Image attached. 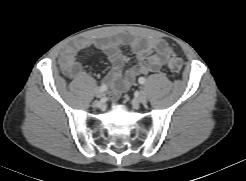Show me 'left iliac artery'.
I'll use <instances>...</instances> for the list:
<instances>
[{
	"mask_svg": "<svg viewBox=\"0 0 246 181\" xmlns=\"http://www.w3.org/2000/svg\"><path fill=\"white\" fill-rule=\"evenodd\" d=\"M138 82L143 85L145 84L146 79L144 77H139Z\"/></svg>",
	"mask_w": 246,
	"mask_h": 181,
	"instance_id": "left-iliac-artery-1",
	"label": "left iliac artery"
}]
</instances>
